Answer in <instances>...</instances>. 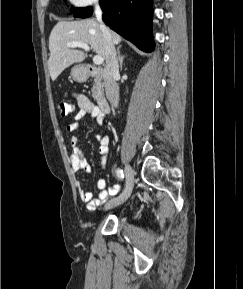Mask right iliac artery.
<instances>
[{
    "label": "right iliac artery",
    "mask_w": 243,
    "mask_h": 289,
    "mask_svg": "<svg viewBox=\"0 0 243 289\" xmlns=\"http://www.w3.org/2000/svg\"><path fill=\"white\" fill-rule=\"evenodd\" d=\"M116 175H117V177H118L119 179H121V180L124 179V173H123V170H122V169L118 168V169L116 170Z\"/></svg>",
    "instance_id": "right-iliac-artery-1"
}]
</instances>
